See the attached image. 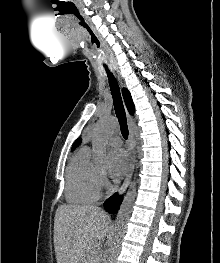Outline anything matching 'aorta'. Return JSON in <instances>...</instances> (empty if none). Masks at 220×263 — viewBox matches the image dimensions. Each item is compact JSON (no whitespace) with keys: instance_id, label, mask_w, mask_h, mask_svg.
I'll return each instance as SVG.
<instances>
[{"instance_id":"762f6f07","label":"aorta","mask_w":220,"mask_h":263,"mask_svg":"<svg viewBox=\"0 0 220 263\" xmlns=\"http://www.w3.org/2000/svg\"><path fill=\"white\" fill-rule=\"evenodd\" d=\"M117 121L112 117H102L97 123L93 133L94 162L100 168H105L108 162L106 154V141L108 136L116 129ZM136 196V182L130 183L115 222L112 237L110 240V259L112 260L121 243V238L126 229V225L132 211V206Z\"/></svg>"}]
</instances>
